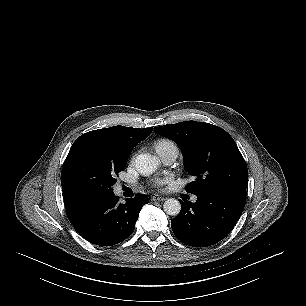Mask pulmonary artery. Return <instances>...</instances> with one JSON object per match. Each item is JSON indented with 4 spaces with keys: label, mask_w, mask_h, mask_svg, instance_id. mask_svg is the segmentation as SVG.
<instances>
[{
    "label": "pulmonary artery",
    "mask_w": 306,
    "mask_h": 306,
    "mask_svg": "<svg viewBox=\"0 0 306 306\" xmlns=\"http://www.w3.org/2000/svg\"><path fill=\"white\" fill-rule=\"evenodd\" d=\"M177 156H178L177 147H170L159 154L160 159L166 164L174 162ZM117 189L118 191H120L121 187L118 186ZM192 201H196V197H193Z\"/></svg>",
    "instance_id": "obj_1"
}]
</instances>
